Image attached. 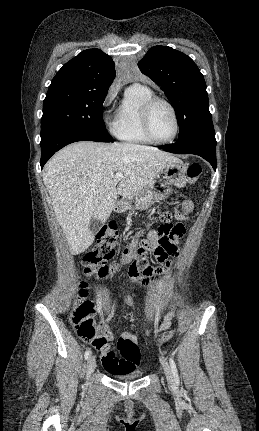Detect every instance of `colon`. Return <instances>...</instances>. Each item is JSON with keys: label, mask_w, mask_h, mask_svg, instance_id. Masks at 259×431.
Segmentation results:
<instances>
[{"label": "colon", "mask_w": 259, "mask_h": 431, "mask_svg": "<svg viewBox=\"0 0 259 431\" xmlns=\"http://www.w3.org/2000/svg\"><path fill=\"white\" fill-rule=\"evenodd\" d=\"M202 168L198 163H191L186 169V178L189 183L197 181L201 175ZM180 209L184 213H190L194 209L191 200H185L180 204ZM181 217V214H178ZM185 226L181 222L163 221L154 231V236L148 239H139V234L135 233L132 237L133 243L128 247L120 263L108 265L116 252L119 243V233L114 223H109L101 228L97 234V245L88 252L83 258L85 273L104 280L114 276L126 264L131 266H149L148 258L153 257L157 261H163L168 256L175 253L177 242L184 236ZM88 294L87 285L83 283L78 290V299L75 302L69 319L75 328L78 336L85 341L91 342L93 346H100L105 343V338L98 329L96 321L95 304L86 299ZM173 335V330L165 331L160 342L168 341ZM118 350L120 354L134 357L139 349L131 341L119 340ZM131 366L124 365L121 372L133 371Z\"/></svg>", "instance_id": "obj_1"}]
</instances>
